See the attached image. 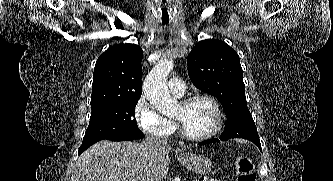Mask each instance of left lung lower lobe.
I'll return each mask as SVG.
<instances>
[{"mask_svg": "<svg viewBox=\"0 0 333 181\" xmlns=\"http://www.w3.org/2000/svg\"><path fill=\"white\" fill-rule=\"evenodd\" d=\"M230 138H237V137L230 136L229 133H227V134L222 133L220 135V139H216V138L215 139H210V140L203 141V142L199 143V145H206V144H210V143H215V142H219V140L226 141V140H228ZM253 143H255L258 146V148L261 150V144H260V142H253Z\"/></svg>", "mask_w": 333, "mask_h": 181, "instance_id": "left-lung-lower-lobe-1", "label": "left lung lower lobe"}]
</instances>
